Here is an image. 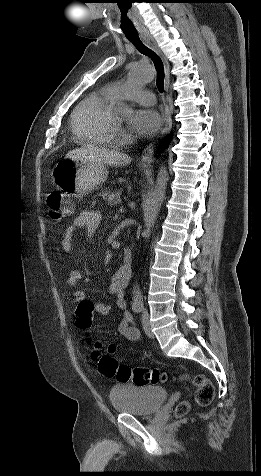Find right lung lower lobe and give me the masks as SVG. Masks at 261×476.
<instances>
[{
    "mask_svg": "<svg viewBox=\"0 0 261 476\" xmlns=\"http://www.w3.org/2000/svg\"><path fill=\"white\" fill-rule=\"evenodd\" d=\"M168 141H169V140H168ZM166 142H167V141H165V143L163 142V147H164V145L166 144Z\"/></svg>",
    "mask_w": 261,
    "mask_h": 476,
    "instance_id": "98d812e1",
    "label": "right lung lower lobe"
}]
</instances>
